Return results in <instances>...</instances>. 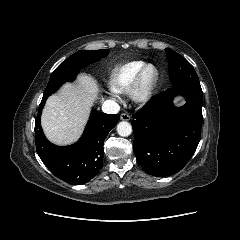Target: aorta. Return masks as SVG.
<instances>
[{
	"mask_svg": "<svg viewBox=\"0 0 240 240\" xmlns=\"http://www.w3.org/2000/svg\"><path fill=\"white\" fill-rule=\"evenodd\" d=\"M117 133L122 137H127L132 133V126L126 121L119 122L117 125Z\"/></svg>",
	"mask_w": 240,
	"mask_h": 240,
	"instance_id": "762f6f07",
	"label": "aorta"
}]
</instances>
